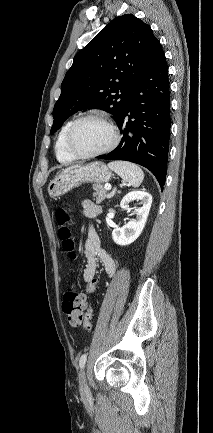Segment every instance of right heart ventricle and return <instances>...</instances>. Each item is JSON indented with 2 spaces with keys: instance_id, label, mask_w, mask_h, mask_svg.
<instances>
[{
  "instance_id": "1",
  "label": "right heart ventricle",
  "mask_w": 213,
  "mask_h": 433,
  "mask_svg": "<svg viewBox=\"0 0 213 433\" xmlns=\"http://www.w3.org/2000/svg\"><path fill=\"white\" fill-rule=\"evenodd\" d=\"M73 122H74V120L70 119L63 125V127L61 128V130L57 136V140H56V144H55L56 158L58 159V161L63 162V163H69V162H72V161L77 159L69 151L68 146H67V134H68V131H69L71 125L73 124Z\"/></svg>"
}]
</instances>
